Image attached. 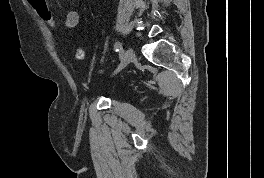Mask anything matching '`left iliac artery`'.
<instances>
[{
    "instance_id": "44dca946",
    "label": "left iliac artery",
    "mask_w": 264,
    "mask_h": 178,
    "mask_svg": "<svg viewBox=\"0 0 264 178\" xmlns=\"http://www.w3.org/2000/svg\"><path fill=\"white\" fill-rule=\"evenodd\" d=\"M122 48V43L121 42H116L114 45V49L116 52H118Z\"/></svg>"
}]
</instances>
